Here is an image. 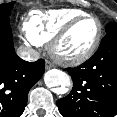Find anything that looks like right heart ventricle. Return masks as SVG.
<instances>
[{"mask_svg": "<svg viewBox=\"0 0 117 117\" xmlns=\"http://www.w3.org/2000/svg\"><path fill=\"white\" fill-rule=\"evenodd\" d=\"M85 14L80 9L72 8L35 11L24 24L26 37L33 44L46 43L72 19Z\"/></svg>", "mask_w": 117, "mask_h": 117, "instance_id": "right-heart-ventricle-1", "label": "right heart ventricle"}]
</instances>
